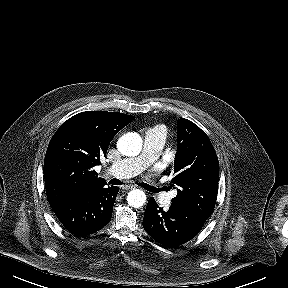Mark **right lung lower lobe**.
<instances>
[{"mask_svg": "<svg viewBox=\"0 0 288 288\" xmlns=\"http://www.w3.org/2000/svg\"><path fill=\"white\" fill-rule=\"evenodd\" d=\"M118 191L116 186H100L51 202L50 206L69 232L75 236H86L109 223Z\"/></svg>", "mask_w": 288, "mask_h": 288, "instance_id": "1", "label": "right lung lower lobe"}]
</instances>
